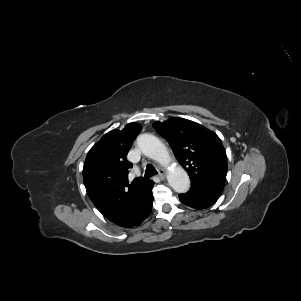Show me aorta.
I'll return each instance as SVG.
<instances>
[{
    "instance_id": "762f6f07",
    "label": "aorta",
    "mask_w": 301,
    "mask_h": 301,
    "mask_svg": "<svg viewBox=\"0 0 301 301\" xmlns=\"http://www.w3.org/2000/svg\"><path fill=\"white\" fill-rule=\"evenodd\" d=\"M137 145L147 157L168 168V183L177 193H185L190 188L187 172L180 166L171 167L172 158L164 144L152 134H141L137 138Z\"/></svg>"
}]
</instances>
